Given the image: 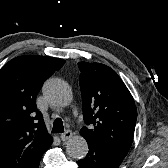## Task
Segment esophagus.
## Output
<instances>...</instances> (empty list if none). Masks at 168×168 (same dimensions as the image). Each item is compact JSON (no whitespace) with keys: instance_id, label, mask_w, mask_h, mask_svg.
I'll use <instances>...</instances> for the list:
<instances>
[{"instance_id":"obj_1","label":"esophagus","mask_w":168,"mask_h":168,"mask_svg":"<svg viewBox=\"0 0 168 168\" xmlns=\"http://www.w3.org/2000/svg\"><path fill=\"white\" fill-rule=\"evenodd\" d=\"M73 133L71 130H67L64 133L61 134V140L62 141H67L72 137Z\"/></svg>"}]
</instances>
